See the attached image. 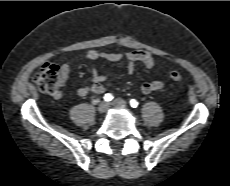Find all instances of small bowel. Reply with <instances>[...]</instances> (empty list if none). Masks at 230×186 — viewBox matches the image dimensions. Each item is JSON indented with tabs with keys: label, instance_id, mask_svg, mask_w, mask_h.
Returning a JSON list of instances; mask_svg holds the SVG:
<instances>
[{
	"label": "small bowel",
	"instance_id": "small-bowel-1",
	"mask_svg": "<svg viewBox=\"0 0 230 186\" xmlns=\"http://www.w3.org/2000/svg\"><path fill=\"white\" fill-rule=\"evenodd\" d=\"M86 59L89 61H98L100 59L109 62H119L123 59L127 62V74L132 75L137 63L143 64L146 68H152L155 65V59L153 55L148 51H130L128 53H109L102 52L95 49L88 50L85 54ZM62 74L65 78H68L70 73V62L65 61L62 65ZM93 82L90 85H83L78 88L77 93L81 97H86L91 94H102L105 92L106 87L104 82L106 81V75L96 68H92ZM164 87L161 80L146 81L141 85V91L143 94H150L155 91H159ZM57 98L61 97V94L56 95Z\"/></svg>",
	"mask_w": 230,
	"mask_h": 186
}]
</instances>
